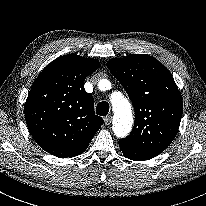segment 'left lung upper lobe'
I'll return each instance as SVG.
<instances>
[{
	"label": "left lung upper lobe",
	"instance_id": "obj_1",
	"mask_svg": "<svg viewBox=\"0 0 206 206\" xmlns=\"http://www.w3.org/2000/svg\"><path fill=\"white\" fill-rule=\"evenodd\" d=\"M107 66L135 109L133 130L119 142L160 154L173 141L182 117V96L172 75L154 57L142 54L113 58Z\"/></svg>",
	"mask_w": 206,
	"mask_h": 206
}]
</instances>
